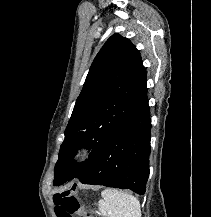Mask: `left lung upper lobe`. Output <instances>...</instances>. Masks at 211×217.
I'll return each instance as SVG.
<instances>
[{"label": "left lung upper lobe", "instance_id": "obj_1", "mask_svg": "<svg viewBox=\"0 0 211 217\" xmlns=\"http://www.w3.org/2000/svg\"><path fill=\"white\" fill-rule=\"evenodd\" d=\"M148 101L146 69L127 38L112 35L96 55L64 132L53 185L75 178L95 157L110 134ZM82 147L89 160L75 163Z\"/></svg>", "mask_w": 211, "mask_h": 217}]
</instances>
